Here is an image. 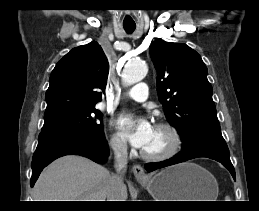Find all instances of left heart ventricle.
<instances>
[{
  "mask_svg": "<svg viewBox=\"0 0 259 211\" xmlns=\"http://www.w3.org/2000/svg\"><path fill=\"white\" fill-rule=\"evenodd\" d=\"M168 146V133L165 130L154 128L152 136L143 150L149 153H159L165 150Z\"/></svg>",
  "mask_w": 259,
  "mask_h": 211,
  "instance_id": "obj_1",
  "label": "left heart ventricle"
}]
</instances>
